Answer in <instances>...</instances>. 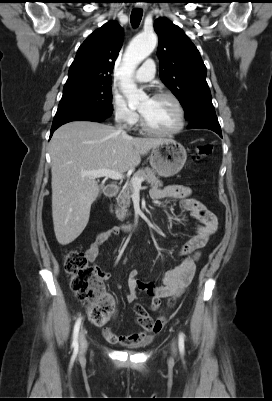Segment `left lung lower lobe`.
Returning <instances> with one entry per match:
<instances>
[{
  "mask_svg": "<svg viewBox=\"0 0 272 401\" xmlns=\"http://www.w3.org/2000/svg\"><path fill=\"white\" fill-rule=\"evenodd\" d=\"M189 123V129L206 128L216 132L220 137H222L221 127L219 125L216 114L197 116L189 120Z\"/></svg>",
  "mask_w": 272,
  "mask_h": 401,
  "instance_id": "1",
  "label": "left lung lower lobe"
}]
</instances>
